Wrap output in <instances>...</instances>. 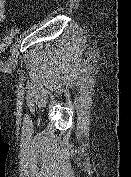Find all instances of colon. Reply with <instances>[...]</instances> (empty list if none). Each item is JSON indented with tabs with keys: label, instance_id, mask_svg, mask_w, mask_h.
<instances>
[{
	"label": "colon",
	"instance_id": "5ec220e1",
	"mask_svg": "<svg viewBox=\"0 0 131 177\" xmlns=\"http://www.w3.org/2000/svg\"><path fill=\"white\" fill-rule=\"evenodd\" d=\"M17 34L16 29H10L0 41V53L5 52L13 43Z\"/></svg>",
	"mask_w": 131,
	"mask_h": 177
}]
</instances>
